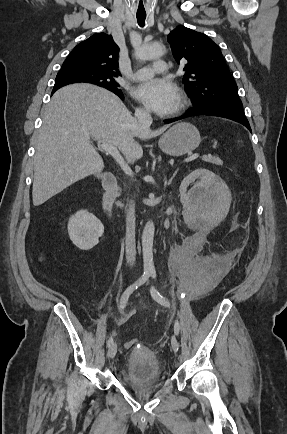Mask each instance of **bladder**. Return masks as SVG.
<instances>
[{
  "instance_id": "obj_1",
  "label": "bladder",
  "mask_w": 287,
  "mask_h": 434,
  "mask_svg": "<svg viewBox=\"0 0 287 434\" xmlns=\"http://www.w3.org/2000/svg\"><path fill=\"white\" fill-rule=\"evenodd\" d=\"M120 378L129 386L145 387L158 383L162 370L157 357L150 351L132 352L120 371Z\"/></svg>"
}]
</instances>
